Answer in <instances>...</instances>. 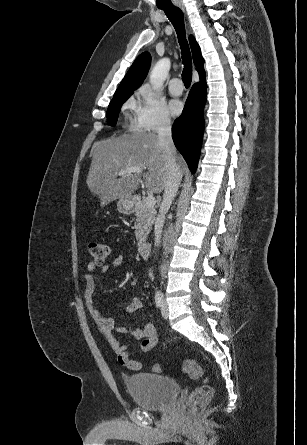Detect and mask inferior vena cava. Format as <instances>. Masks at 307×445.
Returning a JSON list of instances; mask_svg holds the SVG:
<instances>
[{
    "label": "inferior vena cava",
    "mask_w": 307,
    "mask_h": 445,
    "mask_svg": "<svg viewBox=\"0 0 307 445\" xmlns=\"http://www.w3.org/2000/svg\"><path fill=\"white\" fill-rule=\"evenodd\" d=\"M157 132L158 142H161V144L165 146V150L167 152L165 162L167 176L164 184L163 200L160 204L159 214L155 223V247H159L161 243L165 212H167L168 208H170L182 178L180 166H177L176 162L177 152L172 140L170 116H162Z\"/></svg>",
    "instance_id": "inferior-vena-cava-1"
}]
</instances>
